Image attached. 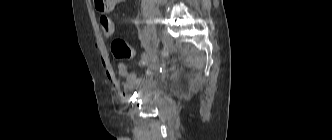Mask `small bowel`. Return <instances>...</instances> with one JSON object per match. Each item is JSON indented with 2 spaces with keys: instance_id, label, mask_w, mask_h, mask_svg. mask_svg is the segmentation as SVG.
<instances>
[{
  "instance_id": "1",
  "label": "small bowel",
  "mask_w": 332,
  "mask_h": 140,
  "mask_svg": "<svg viewBox=\"0 0 332 140\" xmlns=\"http://www.w3.org/2000/svg\"><path fill=\"white\" fill-rule=\"evenodd\" d=\"M113 6L108 7L105 11H111ZM143 45L147 48V53L144 54L140 60V65L142 67H153V62L157 53V46L156 45H149V41H145L143 39ZM105 72L108 80L114 86H120L119 80L116 78L115 73L113 72L110 64L105 62ZM118 75L125 78L122 87L125 91H131L143 86L147 79L151 77V73L148 72L146 75L141 74L139 76L136 75L134 71H132L131 65L121 61L117 67Z\"/></svg>"
}]
</instances>
